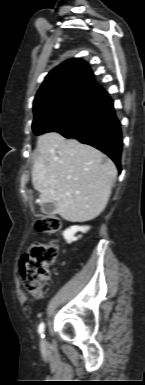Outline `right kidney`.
<instances>
[{
	"instance_id": "ca27d5eb",
	"label": "right kidney",
	"mask_w": 145,
	"mask_h": 385,
	"mask_svg": "<svg viewBox=\"0 0 145 385\" xmlns=\"http://www.w3.org/2000/svg\"><path fill=\"white\" fill-rule=\"evenodd\" d=\"M90 229L89 226H71L63 232V236L67 243L77 241L81 236H75L77 232L86 233Z\"/></svg>"
}]
</instances>
